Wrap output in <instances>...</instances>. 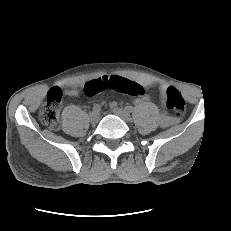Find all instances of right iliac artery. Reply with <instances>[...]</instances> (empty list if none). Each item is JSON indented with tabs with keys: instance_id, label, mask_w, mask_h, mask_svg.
<instances>
[{
	"instance_id": "right-iliac-artery-1",
	"label": "right iliac artery",
	"mask_w": 231,
	"mask_h": 231,
	"mask_svg": "<svg viewBox=\"0 0 231 231\" xmlns=\"http://www.w3.org/2000/svg\"><path fill=\"white\" fill-rule=\"evenodd\" d=\"M100 110H101V106L100 105L96 104V105L93 106V112L98 113V112H100Z\"/></svg>"
}]
</instances>
